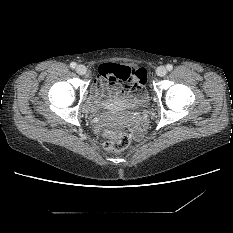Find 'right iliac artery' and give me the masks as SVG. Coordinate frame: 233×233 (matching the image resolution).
<instances>
[{
    "label": "right iliac artery",
    "instance_id": "1",
    "mask_svg": "<svg viewBox=\"0 0 233 233\" xmlns=\"http://www.w3.org/2000/svg\"><path fill=\"white\" fill-rule=\"evenodd\" d=\"M76 66H77V65H76L75 62H72V63L70 64V67L73 68V69H74Z\"/></svg>",
    "mask_w": 233,
    "mask_h": 233
}]
</instances>
